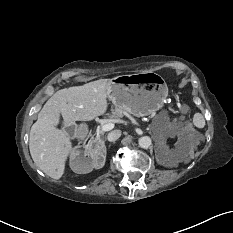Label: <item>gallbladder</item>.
<instances>
[{
    "label": "gallbladder",
    "mask_w": 233,
    "mask_h": 233,
    "mask_svg": "<svg viewBox=\"0 0 233 233\" xmlns=\"http://www.w3.org/2000/svg\"><path fill=\"white\" fill-rule=\"evenodd\" d=\"M64 130L69 134V135H74L75 129L73 126H65Z\"/></svg>",
    "instance_id": "1"
}]
</instances>
